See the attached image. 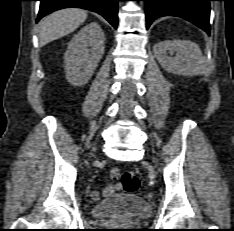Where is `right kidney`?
<instances>
[{
    "label": "right kidney",
    "instance_id": "right-kidney-1",
    "mask_svg": "<svg viewBox=\"0 0 234 231\" xmlns=\"http://www.w3.org/2000/svg\"><path fill=\"white\" fill-rule=\"evenodd\" d=\"M104 42V33L97 22L73 36L64 54L66 78L71 84L81 86L90 80L104 53Z\"/></svg>",
    "mask_w": 234,
    "mask_h": 231
}]
</instances>
